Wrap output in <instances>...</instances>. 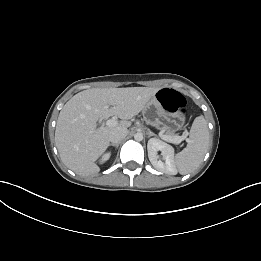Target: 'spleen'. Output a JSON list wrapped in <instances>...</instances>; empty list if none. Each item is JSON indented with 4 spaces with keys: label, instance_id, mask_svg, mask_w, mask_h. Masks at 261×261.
Wrapping results in <instances>:
<instances>
[{
    "label": "spleen",
    "instance_id": "spleen-1",
    "mask_svg": "<svg viewBox=\"0 0 261 261\" xmlns=\"http://www.w3.org/2000/svg\"><path fill=\"white\" fill-rule=\"evenodd\" d=\"M209 132L203 116H198L190 130L187 146L175 156V166L180 174L185 175L196 170L207 152Z\"/></svg>",
    "mask_w": 261,
    "mask_h": 261
}]
</instances>
